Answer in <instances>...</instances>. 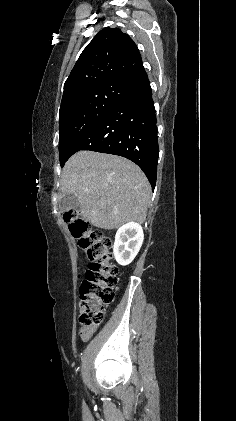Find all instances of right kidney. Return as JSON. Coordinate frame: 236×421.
I'll list each match as a JSON object with an SVG mask.
<instances>
[{"instance_id":"right-kidney-1","label":"right kidney","mask_w":236,"mask_h":421,"mask_svg":"<svg viewBox=\"0 0 236 421\" xmlns=\"http://www.w3.org/2000/svg\"><path fill=\"white\" fill-rule=\"evenodd\" d=\"M143 229L138 223H127L115 235L114 257L119 265H130L142 247Z\"/></svg>"}]
</instances>
